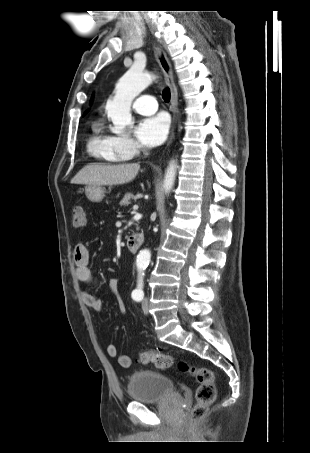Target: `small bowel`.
<instances>
[{
	"instance_id": "1",
	"label": "small bowel",
	"mask_w": 310,
	"mask_h": 453,
	"mask_svg": "<svg viewBox=\"0 0 310 453\" xmlns=\"http://www.w3.org/2000/svg\"><path fill=\"white\" fill-rule=\"evenodd\" d=\"M90 254L86 245L79 243L75 246L73 252V260L75 266V276L77 280L86 285L96 284V279L89 267ZM120 280L117 277H112L108 280V289L111 296L117 301L118 309L121 313L126 310L125 303L120 294L119 288ZM83 301L87 306L95 311H102L103 302L100 298L84 291L82 293ZM106 352L110 357H116L118 364L121 367L128 368L132 364V358L127 354H118V350L114 344L106 346Z\"/></svg>"
}]
</instances>
